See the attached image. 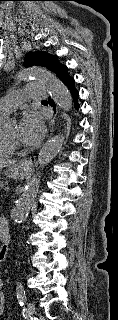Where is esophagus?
<instances>
[{
    "instance_id": "obj_1",
    "label": "esophagus",
    "mask_w": 118,
    "mask_h": 320,
    "mask_svg": "<svg viewBox=\"0 0 118 320\" xmlns=\"http://www.w3.org/2000/svg\"><path fill=\"white\" fill-rule=\"evenodd\" d=\"M53 122H54V119H53V121H52V123L51 124H53ZM53 131V127L50 129V133ZM35 156H31L29 159H28V163L29 164H33L34 162H35Z\"/></svg>"
}]
</instances>
